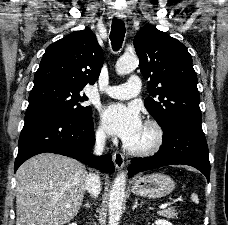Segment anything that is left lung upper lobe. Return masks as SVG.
I'll use <instances>...</instances> for the list:
<instances>
[{"instance_id":"left-lung-upper-lobe-1","label":"left lung upper lobe","mask_w":228,"mask_h":225,"mask_svg":"<svg viewBox=\"0 0 228 225\" xmlns=\"http://www.w3.org/2000/svg\"><path fill=\"white\" fill-rule=\"evenodd\" d=\"M140 70L148 82L151 97L145 106L165 128L178 120L201 123L197 76L187 48L155 26H143L134 38Z\"/></svg>"}]
</instances>
